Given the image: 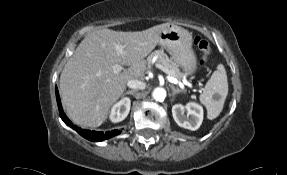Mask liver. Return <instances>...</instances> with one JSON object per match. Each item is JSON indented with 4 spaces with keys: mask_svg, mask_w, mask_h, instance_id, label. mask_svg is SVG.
Returning a JSON list of instances; mask_svg holds the SVG:
<instances>
[{
    "mask_svg": "<svg viewBox=\"0 0 287 175\" xmlns=\"http://www.w3.org/2000/svg\"><path fill=\"white\" fill-rule=\"evenodd\" d=\"M169 23L136 32L99 29L88 33L68 59L60 76L62 102L76 124L95 128L108 117L126 84L143 78L145 58ZM123 45V54L115 46ZM115 64L129 66L115 73Z\"/></svg>",
    "mask_w": 287,
    "mask_h": 175,
    "instance_id": "1",
    "label": "liver"
}]
</instances>
